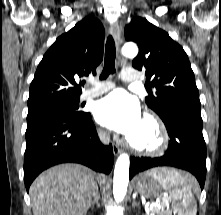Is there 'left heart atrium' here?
<instances>
[{
  "mask_svg": "<svg viewBox=\"0 0 221 215\" xmlns=\"http://www.w3.org/2000/svg\"><path fill=\"white\" fill-rule=\"evenodd\" d=\"M96 120L103 126L131 138L142 123L138 101L123 90H116L98 101Z\"/></svg>",
  "mask_w": 221,
  "mask_h": 215,
  "instance_id": "obj_1",
  "label": "left heart atrium"
}]
</instances>
